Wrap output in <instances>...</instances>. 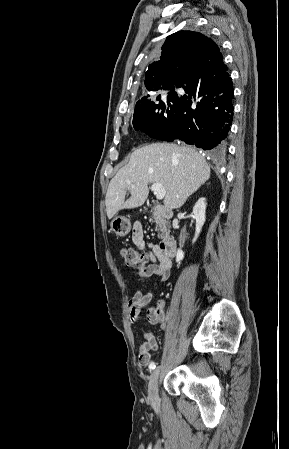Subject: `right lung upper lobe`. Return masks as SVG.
<instances>
[{"label": "right lung upper lobe", "instance_id": "right-lung-upper-lobe-1", "mask_svg": "<svg viewBox=\"0 0 289 449\" xmlns=\"http://www.w3.org/2000/svg\"><path fill=\"white\" fill-rule=\"evenodd\" d=\"M161 49L160 60L150 64L145 74L148 91L169 90L187 82L204 81L224 66L217 44L199 32L173 33ZM150 97L144 96L139 101Z\"/></svg>", "mask_w": 289, "mask_h": 449}]
</instances>
